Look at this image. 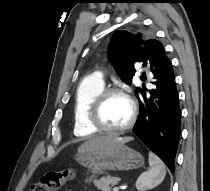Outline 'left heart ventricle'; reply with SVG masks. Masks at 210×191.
I'll return each instance as SVG.
<instances>
[{"label":"left heart ventricle","mask_w":210,"mask_h":191,"mask_svg":"<svg viewBox=\"0 0 210 191\" xmlns=\"http://www.w3.org/2000/svg\"><path fill=\"white\" fill-rule=\"evenodd\" d=\"M131 107L128 100L121 95H112L105 101L101 118L104 124L110 128L124 126L130 119Z\"/></svg>","instance_id":"1"}]
</instances>
